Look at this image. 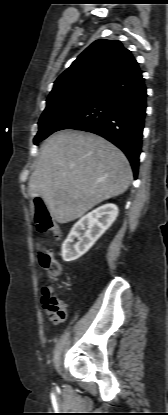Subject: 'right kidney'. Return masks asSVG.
I'll list each match as a JSON object with an SVG mask.
<instances>
[{
	"label": "right kidney",
	"mask_w": 168,
	"mask_h": 415,
	"mask_svg": "<svg viewBox=\"0 0 168 415\" xmlns=\"http://www.w3.org/2000/svg\"><path fill=\"white\" fill-rule=\"evenodd\" d=\"M117 216L118 207L115 204L102 205L83 216L74 224L62 244L63 260L70 262L84 255L113 224ZM75 238L78 242L72 245Z\"/></svg>",
	"instance_id": "1"
}]
</instances>
